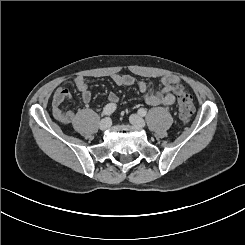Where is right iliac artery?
Segmentation results:
<instances>
[{
    "label": "right iliac artery",
    "mask_w": 245,
    "mask_h": 245,
    "mask_svg": "<svg viewBox=\"0 0 245 245\" xmlns=\"http://www.w3.org/2000/svg\"><path fill=\"white\" fill-rule=\"evenodd\" d=\"M116 110L115 104H107L103 109V114L105 116H110Z\"/></svg>",
    "instance_id": "1"
}]
</instances>
